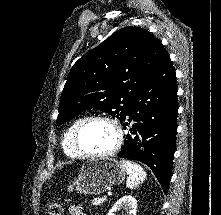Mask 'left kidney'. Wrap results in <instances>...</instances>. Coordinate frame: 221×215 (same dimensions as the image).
I'll list each match as a JSON object with an SVG mask.
<instances>
[{"mask_svg": "<svg viewBox=\"0 0 221 215\" xmlns=\"http://www.w3.org/2000/svg\"><path fill=\"white\" fill-rule=\"evenodd\" d=\"M128 210L129 215H136L137 201L131 195H125L119 199L114 206L109 210L107 215H115L114 212L120 209Z\"/></svg>", "mask_w": 221, "mask_h": 215, "instance_id": "5707ae66", "label": "left kidney"}]
</instances>
